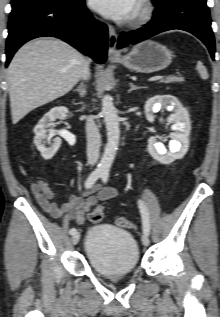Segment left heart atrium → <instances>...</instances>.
Returning <instances> with one entry per match:
<instances>
[{"label":"left heart atrium","instance_id":"39dd6f15","mask_svg":"<svg viewBox=\"0 0 220 317\" xmlns=\"http://www.w3.org/2000/svg\"><path fill=\"white\" fill-rule=\"evenodd\" d=\"M89 4L94 10L108 18L127 20L133 17L138 0H89Z\"/></svg>","mask_w":220,"mask_h":317}]
</instances>
